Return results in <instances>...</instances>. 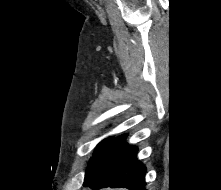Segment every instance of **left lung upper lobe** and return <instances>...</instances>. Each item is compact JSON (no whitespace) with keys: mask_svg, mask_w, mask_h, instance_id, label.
<instances>
[{"mask_svg":"<svg viewBox=\"0 0 221 190\" xmlns=\"http://www.w3.org/2000/svg\"><path fill=\"white\" fill-rule=\"evenodd\" d=\"M113 140H114L113 137H108L107 139H104L102 142H100L97 145V148L94 151L93 156L90 159L89 165L87 167L86 175L89 174L92 171V169L94 168L96 162L100 159L103 152L107 149V147L112 143Z\"/></svg>","mask_w":221,"mask_h":190,"instance_id":"1","label":"left lung upper lobe"}]
</instances>
